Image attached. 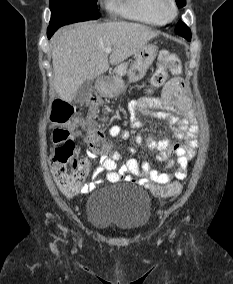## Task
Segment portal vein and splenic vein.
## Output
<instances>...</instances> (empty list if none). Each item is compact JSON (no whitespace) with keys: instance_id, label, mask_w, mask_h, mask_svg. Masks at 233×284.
I'll list each match as a JSON object with an SVG mask.
<instances>
[{"instance_id":"1","label":"portal vein and splenic vein","mask_w":233,"mask_h":284,"mask_svg":"<svg viewBox=\"0 0 233 284\" xmlns=\"http://www.w3.org/2000/svg\"><path fill=\"white\" fill-rule=\"evenodd\" d=\"M105 52H106L107 54L111 53V52H112V47H107V48L105 49Z\"/></svg>"}]
</instances>
